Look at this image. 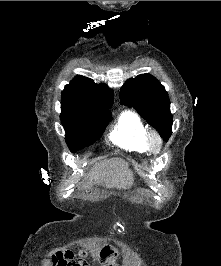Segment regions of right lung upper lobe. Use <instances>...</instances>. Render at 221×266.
Masks as SVG:
<instances>
[{
  "label": "right lung upper lobe",
  "mask_w": 221,
  "mask_h": 266,
  "mask_svg": "<svg viewBox=\"0 0 221 266\" xmlns=\"http://www.w3.org/2000/svg\"><path fill=\"white\" fill-rule=\"evenodd\" d=\"M113 91L106 84L76 76L62 92L61 106L85 116L111 115Z\"/></svg>",
  "instance_id": "cb5924a9"
}]
</instances>
